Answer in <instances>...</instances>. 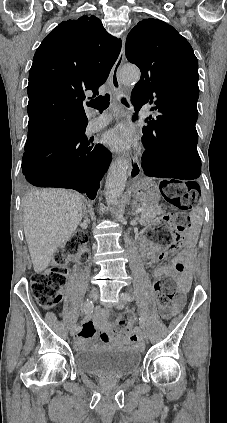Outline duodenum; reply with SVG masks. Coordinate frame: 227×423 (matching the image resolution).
<instances>
[{
	"label": "duodenum",
	"instance_id": "410a0bca",
	"mask_svg": "<svg viewBox=\"0 0 227 423\" xmlns=\"http://www.w3.org/2000/svg\"><path fill=\"white\" fill-rule=\"evenodd\" d=\"M145 251H146V243H143L141 245V252H142V254H145Z\"/></svg>",
	"mask_w": 227,
	"mask_h": 423
}]
</instances>
